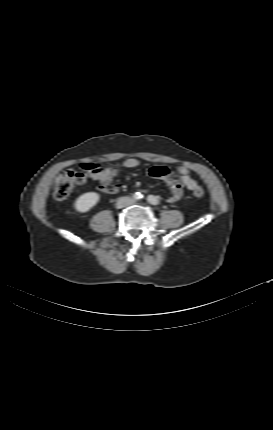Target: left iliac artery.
<instances>
[{"mask_svg": "<svg viewBox=\"0 0 273 430\" xmlns=\"http://www.w3.org/2000/svg\"><path fill=\"white\" fill-rule=\"evenodd\" d=\"M147 200H148V202H149L150 204H152V205H158V204H159V199H158L156 196L149 195V196L147 197Z\"/></svg>", "mask_w": 273, "mask_h": 430, "instance_id": "1", "label": "left iliac artery"}]
</instances>
